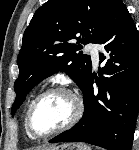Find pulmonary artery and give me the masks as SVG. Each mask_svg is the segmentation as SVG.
Returning a JSON list of instances; mask_svg holds the SVG:
<instances>
[{
    "instance_id": "pulmonary-artery-1",
    "label": "pulmonary artery",
    "mask_w": 139,
    "mask_h": 150,
    "mask_svg": "<svg viewBox=\"0 0 139 150\" xmlns=\"http://www.w3.org/2000/svg\"><path fill=\"white\" fill-rule=\"evenodd\" d=\"M86 50L90 53L93 63L97 65L99 61L98 45L94 43H89L86 45Z\"/></svg>"
}]
</instances>
